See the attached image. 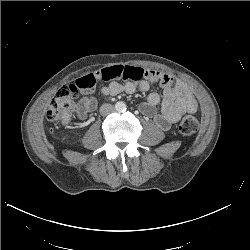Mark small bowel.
Wrapping results in <instances>:
<instances>
[{
	"instance_id": "obj_1",
	"label": "small bowel",
	"mask_w": 250,
	"mask_h": 250,
	"mask_svg": "<svg viewBox=\"0 0 250 250\" xmlns=\"http://www.w3.org/2000/svg\"><path fill=\"white\" fill-rule=\"evenodd\" d=\"M101 81L107 83L100 89L105 96L146 92L151 84H159L162 95L150 93L140 105V110L162 130H168L183 114L197 111V101L183 81L152 69L118 65L86 74L76 80L75 85L82 94L77 104V115L81 120H85L95 110L97 102L91 92ZM158 105L161 106L160 111L157 110ZM63 123L67 124L68 121Z\"/></svg>"
}]
</instances>
